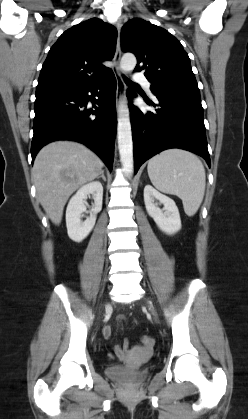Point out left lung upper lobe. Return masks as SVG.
Wrapping results in <instances>:
<instances>
[{
	"instance_id": "1",
	"label": "left lung upper lobe",
	"mask_w": 248,
	"mask_h": 419,
	"mask_svg": "<svg viewBox=\"0 0 248 419\" xmlns=\"http://www.w3.org/2000/svg\"><path fill=\"white\" fill-rule=\"evenodd\" d=\"M121 48L135 54V71L145 70L154 95L200 96L189 56L167 30L143 19L130 20L122 28Z\"/></svg>"
}]
</instances>
